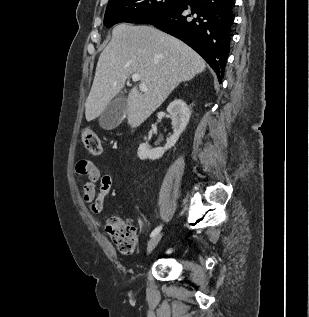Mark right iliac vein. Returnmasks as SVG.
Wrapping results in <instances>:
<instances>
[{
	"instance_id": "obj_1",
	"label": "right iliac vein",
	"mask_w": 309,
	"mask_h": 317,
	"mask_svg": "<svg viewBox=\"0 0 309 317\" xmlns=\"http://www.w3.org/2000/svg\"><path fill=\"white\" fill-rule=\"evenodd\" d=\"M161 238H162V233H158L157 235L151 238V240L148 242V245H147V250H146L147 254L151 253V251L157 246Z\"/></svg>"
}]
</instances>
